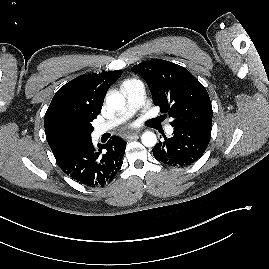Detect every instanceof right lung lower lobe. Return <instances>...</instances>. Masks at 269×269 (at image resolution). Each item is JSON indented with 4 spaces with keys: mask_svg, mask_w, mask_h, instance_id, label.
Segmentation results:
<instances>
[{
    "mask_svg": "<svg viewBox=\"0 0 269 269\" xmlns=\"http://www.w3.org/2000/svg\"><path fill=\"white\" fill-rule=\"evenodd\" d=\"M125 148L126 142L118 136L111 137L104 145L98 144V150L91 140L56 158V161L64 173L80 184L103 187L120 170Z\"/></svg>",
    "mask_w": 269,
    "mask_h": 269,
    "instance_id": "98d812e1",
    "label": "right lung lower lobe"
}]
</instances>
